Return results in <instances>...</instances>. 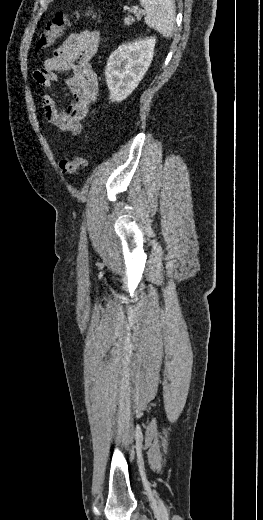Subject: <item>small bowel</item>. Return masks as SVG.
Segmentation results:
<instances>
[{"mask_svg": "<svg viewBox=\"0 0 263 520\" xmlns=\"http://www.w3.org/2000/svg\"><path fill=\"white\" fill-rule=\"evenodd\" d=\"M100 42L98 30L74 32L55 49L52 57L45 60L43 67L34 72L35 80L44 89L42 108L45 118L64 132L76 135L82 131L83 120L97 98L99 83L90 60L97 53ZM65 71L72 74L67 85L73 101L66 110H60L50 92L58 73Z\"/></svg>", "mask_w": 263, "mask_h": 520, "instance_id": "1", "label": "small bowel"}]
</instances>
